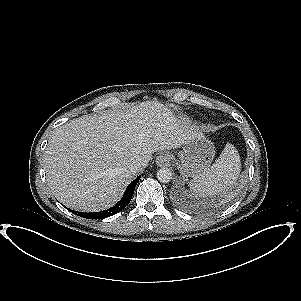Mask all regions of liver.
<instances>
[{
    "instance_id": "1",
    "label": "liver",
    "mask_w": 301,
    "mask_h": 301,
    "mask_svg": "<svg viewBox=\"0 0 301 301\" xmlns=\"http://www.w3.org/2000/svg\"><path fill=\"white\" fill-rule=\"evenodd\" d=\"M189 137L172 112L157 104L79 117L57 128L48 141L47 183L69 208L105 210L135 176L132 164L147 165L154 152L179 148Z\"/></svg>"
}]
</instances>
